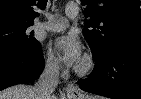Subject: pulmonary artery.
Wrapping results in <instances>:
<instances>
[{
  "mask_svg": "<svg viewBox=\"0 0 141 99\" xmlns=\"http://www.w3.org/2000/svg\"><path fill=\"white\" fill-rule=\"evenodd\" d=\"M66 17L60 15H48V21L42 24V28L47 31H62L68 26V18L73 19L79 13L76 4H69L66 7Z\"/></svg>",
  "mask_w": 141,
  "mask_h": 99,
  "instance_id": "pulmonary-artery-1",
  "label": "pulmonary artery"
}]
</instances>
